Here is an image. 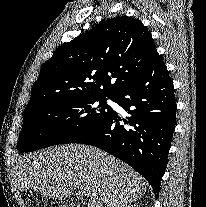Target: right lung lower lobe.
Returning a JSON list of instances; mask_svg holds the SVG:
<instances>
[{"label":"right lung lower lobe","mask_w":206,"mask_h":207,"mask_svg":"<svg viewBox=\"0 0 206 207\" xmlns=\"http://www.w3.org/2000/svg\"><path fill=\"white\" fill-rule=\"evenodd\" d=\"M113 101L128 117L122 119L113 110L75 142L96 146L129 164L146 178L157 198L176 124L174 87L160 55L142 75L120 88Z\"/></svg>","instance_id":"98d812e1"}]
</instances>
